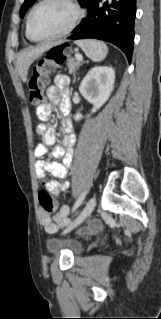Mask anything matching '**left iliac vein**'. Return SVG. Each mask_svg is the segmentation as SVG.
I'll return each mask as SVG.
<instances>
[{
    "label": "left iliac vein",
    "mask_w": 161,
    "mask_h": 319,
    "mask_svg": "<svg viewBox=\"0 0 161 319\" xmlns=\"http://www.w3.org/2000/svg\"><path fill=\"white\" fill-rule=\"evenodd\" d=\"M95 206H96V199L95 197H92L88 200L82 212L74 219L72 224L65 229L64 233H69L71 230L77 227L80 223H82L93 212V210L95 209Z\"/></svg>",
    "instance_id": "left-iliac-vein-1"
}]
</instances>
